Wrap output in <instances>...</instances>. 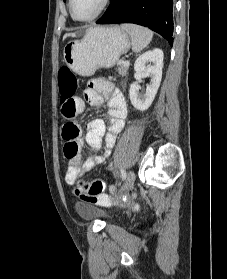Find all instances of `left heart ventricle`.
Segmentation results:
<instances>
[{"instance_id": "obj_1", "label": "left heart ventricle", "mask_w": 227, "mask_h": 279, "mask_svg": "<svg viewBox=\"0 0 227 279\" xmlns=\"http://www.w3.org/2000/svg\"><path fill=\"white\" fill-rule=\"evenodd\" d=\"M101 0H73V12L78 18H87L99 8Z\"/></svg>"}]
</instances>
